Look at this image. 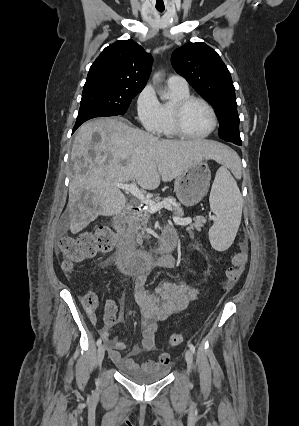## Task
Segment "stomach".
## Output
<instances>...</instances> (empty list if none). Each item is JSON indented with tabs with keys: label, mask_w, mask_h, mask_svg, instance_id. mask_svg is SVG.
<instances>
[{
	"label": "stomach",
	"mask_w": 299,
	"mask_h": 426,
	"mask_svg": "<svg viewBox=\"0 0 299 426\" xmlns=\"http://www.w3.org/2000/svg\"><path fill=\"white\" fill-rule=\"evenodd\" d=\"M211 179V172L206 161L189 167L178 176L174 183L176 196L185 206H193L205 196Z\"/></svg>",
	"instance_id": "stomach-1"
}]
</instances>
